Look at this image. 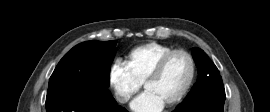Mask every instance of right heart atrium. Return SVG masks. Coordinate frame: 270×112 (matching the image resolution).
Here are the masks:
<instances>
[{
    "label": "right heart atrium",
    "instance_id": "1",
    "mask_svg": "<svg viewBox=\"0 0 270 112\" xmlns=\"http://www.w3.org/2000/svg\"><path fill=\"white\" fill-rule=\"evenodd\" d=\"M108 84L114 97L120 104H126L139 92V83L125 66V63L117 60L108 69Z\"/></svg>",
    "mask_w": 270,
    "mask_h": 112
}]
</instances>
